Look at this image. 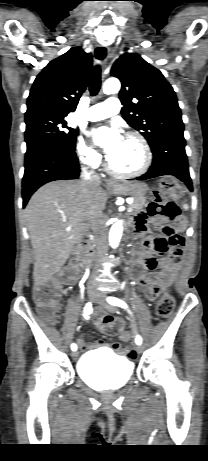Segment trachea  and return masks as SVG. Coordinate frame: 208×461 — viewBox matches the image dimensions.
Returning a JSON list of instances; mask_svg holds the SVG:
<instances>
[{
	"label": "trachea",
	"mask_w": 208,
	"mask_h": 461,
	"mask_svg": "<svg viewBox=\"0 0 208 461\" xmlns=\"http://www.w3.org/2000/svg\"><path fill=\"white\" fill-rule=\"evenodd\" d=\"M98 54H99V49L97 50V57H98ZM100 86H101V67L100 65H97L94 68V71L92 73V77L90 80V86H89V90L92 96H96L98 94L100 90Z\"/></svg>",
	"instance_id": "trachea-1"
}]
</instances>
